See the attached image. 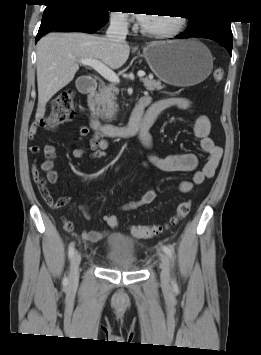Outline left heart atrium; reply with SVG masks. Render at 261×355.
Instances as JSON below:
<instances>
[{
	"instance_id": "1",
	"label": "left heart atrium",
	"mask_w": 261,
	"mask_h": 355,
	"mask_svg": "<svg viewBox=\"0 0 261 355\" xmlns=\"http://www.w3.org/2000/svg\"><path fill=\"white\" fill-rule=\"evenodd\" d=\"M146 17H147L146 14H138L137 15V19L141 24L145 21Z\"/></svg>"
}]
</instances>
